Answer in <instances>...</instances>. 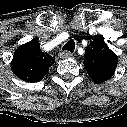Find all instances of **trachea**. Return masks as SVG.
Returning a JSON list of instances; mask_svg holds the SVG:
<instances>
[{
  "label": "trachea",
  "instance_id": "3493384b",
  "mask_svg": "<svg viewBox=\"0 0 127 127\" xmlns=\"http://www.w3.org/2000/svg\"><path fill=\"white\" fill-rule=\"evenodd\" d=\"M62 50H67V51L73 53L74 50H75V42H74V40H72V39L69 40V41L63 46Z\"/></svg>",
  "mask_w": 127,
  "mask_h": 127
}]
</instances>
